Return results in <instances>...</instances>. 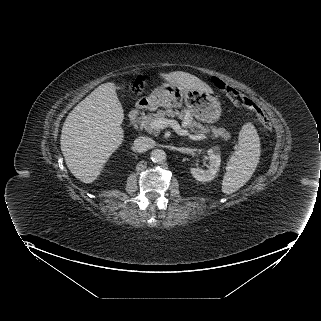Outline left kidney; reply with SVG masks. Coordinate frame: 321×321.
<instances>
[{
	"mask_svg": "<svg viewBox=\"0 0 321 321\" xmlns=\"http://www.w3.org/2000/svg\"><path fill=\"white\" fill-rule=\"evenodd\" d=\"M207 154L210 159L207 169L203 170L200 168H190V173L192 176L201 182L213 180L221 164V157L217 148L209 149Z\"/></svg>",
	"mask_w": 321,
	"mask_h": 321,
	"instance_id": "obj_1",
	"label": "left kidney"
}]
</instances>
